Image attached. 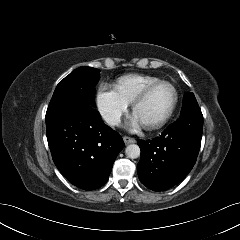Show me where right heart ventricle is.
Here are the masks:
<instances>
[{
  "label": "right heart ventricle",
  "mask_w": 240,
  "mask_h": 240,
  "mask_svg": "<svg viewBox=\"0 0 240 240\" xmlns=\"http://www.w3.org/2000/svg\"><path fill=\"white\" fill-rule=\"evenodd\" d=\"M159 81L162 80L151 75L127 74L118 78L113 88L125 102L130 104L145 88Z\"/></svg>",
  "instance_id": "right-heart-ventricle-1"
}]
</instances>
